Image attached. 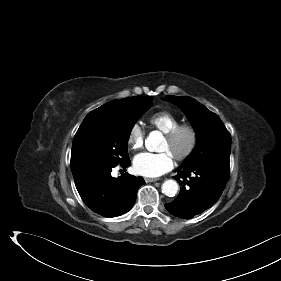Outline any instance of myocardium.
<instances>
[{
    "label": "myocardium",
    "mask_w": 281,
    "mask_h": 281,
    "mask_svg": "<svg viewBox=\"0 0 281 281\" xmlns=\"http://www.w3.org/2000/svg\"><path fill=\"white\" fill-rule=\"evenodd\" d=\"M183 134L188 135L189 143L183 151L173 155L179 161L188 159L196 150L198 144V132L196 128L191 124L181 123L165 134V138L171 144L175 143Z\"/></svg>",
    "instance_id": "f54148a6"
}]
</instances>
